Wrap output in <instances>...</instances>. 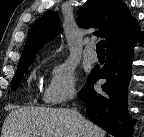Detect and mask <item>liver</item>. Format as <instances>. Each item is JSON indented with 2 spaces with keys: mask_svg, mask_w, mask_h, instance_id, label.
Segmentation results:
<instances>
[{
  "mask_svg": "<svg viewBox=\"0 0 144 137\" xmlns=\"http://www.w3.org/2000/svg\"><path fill=\"white\" fill-rule=\"evenodd\" d=\"M77 114L79 115L77 118ZM105 137L106 133L72 109L22 107L7 116L2 137Z\"/></svg>",
  "mask_w": 144,
  "mask_h": 137,
  "instance_id": "liver-1",
  "label": "liver"
}]
</instances>
